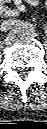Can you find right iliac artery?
<instances>
[{"instance_id":"right-iliac-artery-1","label":"right iliac artery","mask_w":47,"mask_h":129,"mask_svg":"<svg viewBox=\"0 0 47 129\" xmlns=\"http://www.w3.org/2000/svg\"><path fill=\"white\" fill-rule=\"evenodd\" d=\"M14 27H18V28H23L27 31L30 32H34L35 31V27L28 23V22H24V21H20V20H8L4 23V25L2 26V31H8Z\"/></svg>"}]
</instances>
